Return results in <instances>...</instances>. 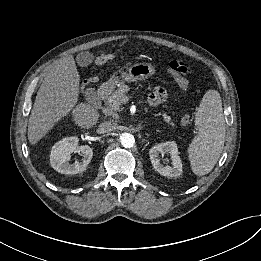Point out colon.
I'll return each instance as SVG.
<instances>
[{"label": "colon", "instance_id": "5ec220e1", "mask_svg": "<svg viewBox=\"0 0 261 261\" xmlns=\"http://www.w3.org/2000/svg\"><path fill=\"white\" fill-rule=\"evenodd\" d=\"M98 59L102 62L107 63L111 60V54L109 52H105L104 54L100 55ZM168 69L177 80L181 81L185 80V78L192 72L188 66L179 61L170 62L168 65Z\"/></svg>", "mask_w": 261, "mask_h": 261}]
</instances>
